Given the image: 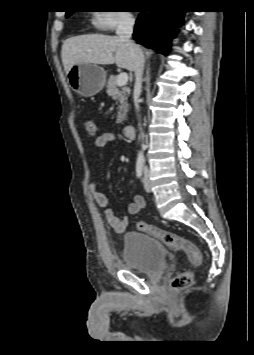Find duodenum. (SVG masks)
I'll return each mask as SVG.
<instances>
[{
	"instance_id": "410a0bca",
	"label": "duodenum",
	"mask_w": 254,
	"mask_h": 355,
	"mask_svg": "<svg viewBox=\"0 0 254 355\" xmlns=\"http://www.w3.org/2000/svg\"><path fill=\"white\" fill-rule=\"evenodd\" d=\"M123 134L127 138H133L134 136V126L131 124H127L123 127Z\"/></svg>"
}]
</instances>
